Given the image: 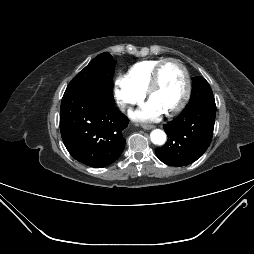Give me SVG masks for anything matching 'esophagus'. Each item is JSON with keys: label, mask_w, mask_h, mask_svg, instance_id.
Returning a JSON list of instances; mask_svg holds the SVG:
<instances>
[{"label": "esophagus", "mask_w": 254, "mask_h": 254, "mask_svg": "<svg viewBox=\"0 0 254 254\" xmlns=\"http://www.w3.org/2000/svg\"><path fill=\"white\" fill-rule=\"evenodd\" d=\"M142 128L145 129V130H150V129H153L154 126L153 125L142 124Z\"/></svg>", "instance_id": "34e87169"}]
</instances>
